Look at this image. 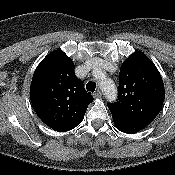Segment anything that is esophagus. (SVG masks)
Wrapping results in <instances>:
<instances>
[{"label":"esophagus","instance_id":"34e87169","mask_svg":"<svg viewBox=\"0 0 175 175\" xmlns=\"http://www.w3.org/2000/svg\"><path fill=\"white\" fill-rule=\"evenodd\" d=\"M102 96V92L100 89H97L96 92L93 93L94 98H99Z\"/></svg>","mask_w":175,"mask_h":175}]
</instances>
